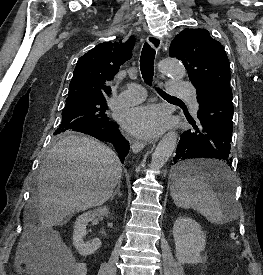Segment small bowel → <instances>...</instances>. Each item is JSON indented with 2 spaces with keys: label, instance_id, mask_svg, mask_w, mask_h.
Masks as SVG:
<instances>
[{
  "label": "small bowel",
  "instance_id": "c3829d8e",
  "mask_svg": "<svg viewBox=\"0 0 263 275\" xmlns=\"http://www.w3.org/2000/svg\"><path fill=\"white\" fill-rule=\"evenodd\" d=\"M30 270H32L33 272H35L36 275H42L41 273L43 271V269L40 266H38V265H32L30 267Z\"/></svg>",
  "mask_w": 263,
  "mask_h": 275
}]
</instances>
